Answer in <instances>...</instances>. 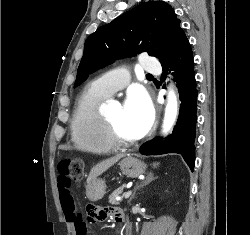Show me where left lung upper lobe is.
<instances>
[{
  "label": "left lung upper lobe",
  "mask_w": 250,
  "mask_h": 235,
  "mask_svg": "<svg viewBox=\"0 0 250 235\" xmlns=\"http://www.w3.org/2000/svg\"><path fill=\"white\" fill-rule=\"evenodd\" d=\"M180 20L163 1L147 2L99 27L86 40L74 87L107 64L141 52L164 60L178 36Z\"/></svg>",
  "instance_id": "5c2ea615"
}]
</instances>
